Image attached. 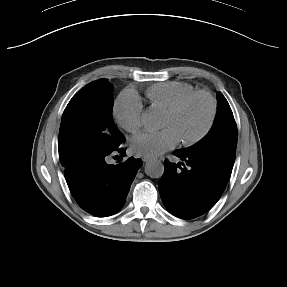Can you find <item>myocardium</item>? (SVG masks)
Returning <instances> with one entry per match:
<instances>
[{
  "mask_svg": "<svg viewBox=\"0 0 287 287\" xmlns=\"http://www.w3.org/2000/svg\"><path fill=\"white\" fill-rule=\"evenodd\" d=\"M196 97H203L206 100L209 106L208 119L204 128L197 135L190 138L181 139V143L184 146H192L197 144L198 142L203 140L212 129L217 111L216 103L213 96L208 91L195 90L181 98L177 103H175L170 109L165 112V115L174 116L178 114L191 100Z\"/></svg>",
  "mask_w": 287,
  "mask_h": 287,
  "instance_id": "myocardium-1",
  "label": "myocardium"
}]
</instances>
